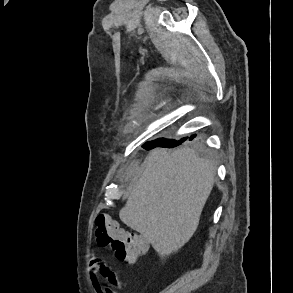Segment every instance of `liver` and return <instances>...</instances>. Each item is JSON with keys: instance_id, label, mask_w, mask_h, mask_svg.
<instances>
[{"instance_id": "liver-1", "label": "liver", "mask_w": 293, "mask_h": 293, "mask_svg": "<svg viewBox=\"0 0 293 293\" xmlns=\"http://www.w3.org/2000/svg\"><path fill=\"white\" fill-rule=\"evenodd\" d=\"M138 162L135 160L132 166ZM215 176L212 161L188 148L152 150L127 193L121 221L143 235L162 256L183 247L197 229Z\"/></svg>"}]
</instances>
